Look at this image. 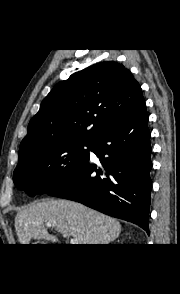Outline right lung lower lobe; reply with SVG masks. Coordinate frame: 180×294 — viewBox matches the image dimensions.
I'll list each match as a JSON object with an SVG mask.
<instances>
[{"mask_svg": "<svg viewBox=\"0 0 180 294\" xmlns=\"http://www.w3.org/2000/svg\"><path fill=\"white\" fill-rule=\"evenodd\" d=\"M147 122L143 101L92 142L99 166L88 160L47 194L80 202L148 232L152 149Z\"/></svg>", "mask_w": 180, "mask_h": 294, "instance_id": "98d812e1", "label": "right lung lower lobe"}]
</instances>
